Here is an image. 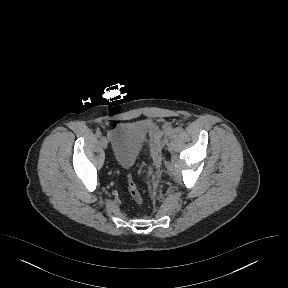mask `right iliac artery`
<instances>
[{"label": "right iliac artery", "mask_w": 288, "mask_h": 288, "mask_svg": "<svg viewBox=\"0 0 288 288\" xmlns=\"http://www.w3.org/2000/svg\"><path fill=\"white\" fill-rule=\"evenodd\" d=\"M96 137L101 138L102 137V133L100 131L96 132Z\"/></svg>", "instance_id": "right-iliac-artery-1"}]
</instances>
